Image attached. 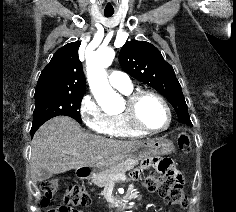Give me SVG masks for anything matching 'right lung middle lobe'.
I'll use <instances>...</instances> for the list:
<instances>
[{
  "instance_id": "right-lung-middle-lobe-1",
  "label": "right lung middle lobe",
  "mask_w": 236,
  "mask_h": 212,
  "mask_svg": "<svg viewBox=\"0 0 236 212\" xmlns=\"http://www.w3.org/2000/svg\"><path fill=\"white\" fill-rule=\"evenodd\" d=\"M83 95L84 93L47 94L35 97L31 136L43 123L55 116L66 115L82 123L79 109Z\"/></svg>"
}]
</instances>
